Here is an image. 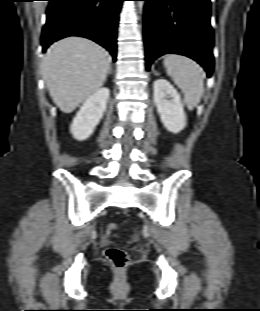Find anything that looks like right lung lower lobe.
Masks as SVG:
<instances>
[{
    "label": "right lung lower lobe",
    "instance_id": "98d812e1",
    "mask_svg": "<svg viewBox=\"0 0 260 311\" xmlns=\"http://www.w3.org/2000/svg\"><path fill=\"white\" fill-rule=\"evenodd\" d=\"M42 31L43 52L68 36L89 38L106 48L116 61L118 14L124 0H48Z\"/></svg>",
    "mask_w": 260,
    "mask_h": 311
}]
</instances>
